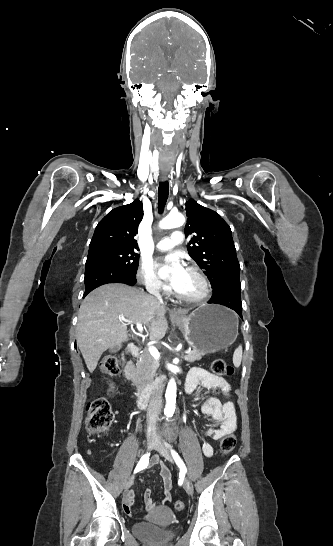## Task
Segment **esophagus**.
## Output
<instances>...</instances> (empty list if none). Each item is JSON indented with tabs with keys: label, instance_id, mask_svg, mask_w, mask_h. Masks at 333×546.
I'll return each instance as SVG.
<instances>
[{
	"label": "esophagus",
	"instance_id": "obj_1",
	"mask_svg": "<svg viewBox=\"0 0 333 546\" xmlns=\"http://www.w3.org/2000/svg\"><path fill=\"white\" fill-rule=\"evenodd\" d=\"M166 179H167V174H162V175H161V180H162V181H165ZM171 314H172L173 316H180V315L182 314V312H181L180 309L174 307V308L171 310Z\"/></svg>",
	"mask_w": 333,
	"mask_h": 546
}]
</instances>
